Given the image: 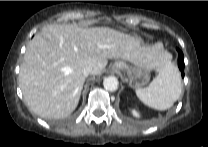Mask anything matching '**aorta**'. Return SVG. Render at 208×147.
Returning a JSON list of instances; mask_svg holds the SVG:
<instances>
[{"mask_svg": "<svg viewBox=\"0 0 208 147\" xmlns=\"http://www.w3.org/2000/svg\"><path fill=\"white\" fill-rule=\"evenodd\" d=\"M104 88L108 91H115L118 88V79L114 76H109L103 80Z\"/></svg>", "mask_w": 208, "mask_h": 147, "instance_id": "obj_1", "label": "aorta"}]
</instances>
